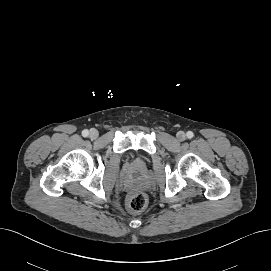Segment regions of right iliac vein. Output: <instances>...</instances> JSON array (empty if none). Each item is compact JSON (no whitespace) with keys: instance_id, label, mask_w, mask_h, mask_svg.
Returning a JSON list of instances; mask_svg holds the SVG:
<instances>
[{"instance_id":"1","label":"right iliac vein","mask_w":271,"mask_h":271,"mask_svg":"<svg viewBox=\"0 0 271 271\" xmlns=\"http://www.w3.org/2000/svg\"><path fill=\"white\" fill-rule=\"evenodd\" d=\"M89 136L91 139H96L99 136V133L96 129H91L89 132Z\"/></svg>"}]
</instances>
